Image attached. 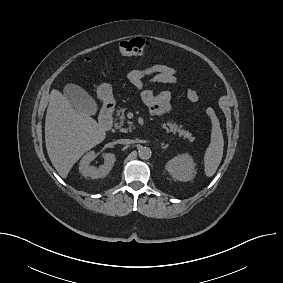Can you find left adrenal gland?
Masks as SVG:
<instances>
[{"mask_svg":"<svg viewBox=\"0 0 283 283\" xmlns=\"http://www.w3.org/2000/svg\"><path fill=\"white\" fill-rule=\"evenodd\" d=\"M168 147H169V144H163V143L161 144L162 149H167Z\"/></svg>","mask_w":283,"mask_h":283,"instance_id":"a2214340","label":"left adrenal gland"}]
</instances>
